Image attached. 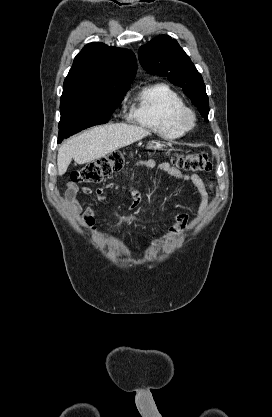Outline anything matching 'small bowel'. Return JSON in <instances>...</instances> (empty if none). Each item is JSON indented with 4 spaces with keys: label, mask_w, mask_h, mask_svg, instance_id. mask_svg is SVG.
I'll return each mask as SVG.
<instances>
[{
    "label": "small bowel",
    "mask_w": 272,
    "mask_h": 417,
    "mask_svg": "<svg viewBox=\"0 0 272 417\" xmlns=\"http://www.w3.org/2000/svg\"><path fill=\"white\" fill-rule=\"evenodd\" d=\"M134 167H145L149 169H155L162 172L167 173L168 175L181 180V181H188L192 183L195 187L198 198L200 201V209L199 213L202 214L208 204V191L207 187L202 180V178L197 174H189V173H182L179 169L174 166H171L169 163H158L152 159H145L139 160L134 163ZM119 185L116 183H110L104 185L95 191V199L96 202L104 201L108 198L109 190L117 189ZM93 193V191L88 187H78L76 183L70 182L66 186L65 191V200L68 205V208L75 214H80L82 212V208L80 205V196H89ZM140 204V195L139 193L134 190L130 189V197H129V206L131 209H135ZM95 213L96 209L94 206H90L86 208L83 212L84 222L88 229L91 231L95 230ZM176 226L172 228L169 232V235H177L181 233L184 228L186 227L188 221V215L186 212L180 211L176 214Z\"/></svg>",
    "instance_id": "obj_1"
}]
</instances>
